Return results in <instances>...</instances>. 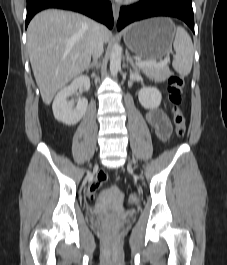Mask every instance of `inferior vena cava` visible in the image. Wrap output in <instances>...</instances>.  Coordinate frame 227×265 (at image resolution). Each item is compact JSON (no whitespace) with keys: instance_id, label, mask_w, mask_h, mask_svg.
<instances>
[{"instance_id":"inferior-vena-cava-1","label":"inferior vena cava","mask_w":227,"mask_h":265,"mask_svg":"<svg viewBox=\"0 0 227 265\" xmlns=\"http://www.w3.org/2000/svg\"><path fill=\"white\" fill-rule=\"evenodd\" d=\"M104 40L100 34V25L94 22L93 32L91 34V44H92V56L93 59H98L103 52Z\"/></svg>"}]
</instances>
